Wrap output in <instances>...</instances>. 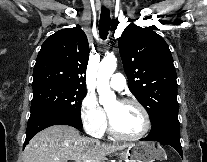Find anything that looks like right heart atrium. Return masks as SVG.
Returning <instances> with one entry per match:
<instances>
[{
  "instance_id": "right-heart-atrium-1",
  "label": "right heart atrium",
  "mask_w": 207,
  "mask_h": 162,
  "mask_svg": "<svg viewBox=\"0 0 207 162\" xmlns=\"http://www.w3.org/2000/svg\"><path fill=\"white\" fill-rule=\"evenodd\" d=\"M80 119L84 128L94 136H101L107 128L105 112L96 96L88 93L81 102Z\"/></svg>"
}]
</instances>
